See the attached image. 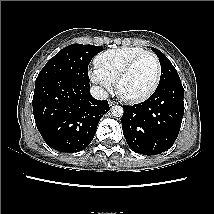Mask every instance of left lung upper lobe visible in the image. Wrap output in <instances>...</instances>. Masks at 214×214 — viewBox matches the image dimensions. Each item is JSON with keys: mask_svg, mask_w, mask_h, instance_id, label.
<instances>
[{"mask_svg": "<svg viewBox=\"0 0 214 214\" xmlns=\"http://www.w3.org/2000/svg\"><path fill=\"white\" fill-rule=\"evenodd\" d=\"M159 58L161 65V77L157 88L172 82H181L180 77L170 60L158 49L151 47Z\"/></svg>", "mask_w": 214, "mask_h": 214, "instance_id": "obj_1", "label": "left lung upper lobe"}]
</instances>
